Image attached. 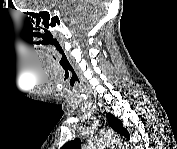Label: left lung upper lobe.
Returning a JSON list of instances; mask_svg holds the SVG:
<instances>
[{
	"label": "left lung upper lobe",
	"instance_id": "1",
	"mask_svg": "<svg viewBox=\"0 0 177 149\" xmlns=\"http://www.w3.org/2000/svg\"><path fill=\"white\" fill-rule=\"evenodd\" d=\"M107 120H108L110 126L116 132H118L121 135H125L126 137H129L128 131L123 127V124L119 119H117L111 113H108ZM80 145H81V140L75 139V140L67 142L62 148L63 149H80Z\"/></svg>",
	"mask_w": 177,
	"mask_h": 149
}]
</instances>
